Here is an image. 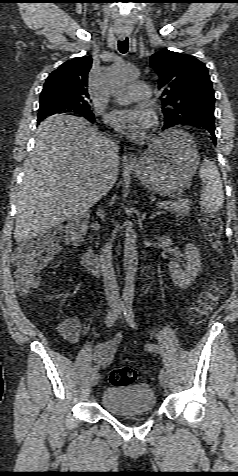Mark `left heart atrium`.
<instances>
[{
	"label": "left heart atrium",
	"instance_id": "1",
	"mask_svg": "<svg viewBox=\"0 0 238 476\" xmlns=\"http://www.w3.org/2000/svg\"><path fill=\"white\" fill-rule=\"evenodd\" d=\"M107 123L119 133L141 138L153 123V113L144 105L113 110L107 114Z\"/></svg>",
	"mask_w": 238,
	"mask_h": 476
}]
</instances>
